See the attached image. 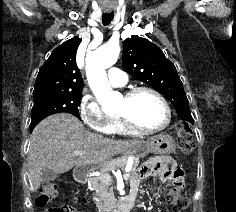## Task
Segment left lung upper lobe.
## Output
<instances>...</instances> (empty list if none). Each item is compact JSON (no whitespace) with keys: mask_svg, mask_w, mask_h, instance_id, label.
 <instances>
[{"mask_svg":"<svg viewBox=\"0 0 236 212\" xmlns=\"http://www.w3.org/2000/svg\"><path fill=\"white\" fill-rule=\"evenodd\" d=\"M122 64L134 78L155 88L173 104L178 116L189 113V102L174 64L149 40L132 36L123 42Z\"/></svg>","mask_w":236,"mask_h":212,"instance_id":"obj_1","label":"left lung upper lobe"}]
</instances>
